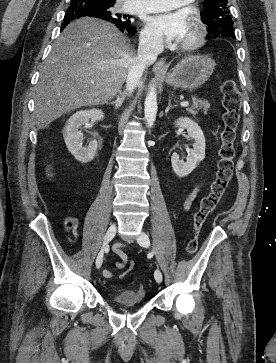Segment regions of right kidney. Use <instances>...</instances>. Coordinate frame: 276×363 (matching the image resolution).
I'll use <instances>...</instances> for the list:
<instances>
[{
    "instance_id": "right-kidney-1",
    "label": "right kidney",
    "mask_w": 276,
    "mask_h": 363,
    "mask_svg": "<svg viewBox=\"0 0 276 363\" xmlns=\"http://www.w3.org/2000/svg\"><path fill=\"white\" fill-rule=\"evenodd\" d=\"M104 113L99 109L81 110L74 113L66 122L63 128V137L69 152L81 163H88L93 160L98 143L91 141L87 147H83V134L79 130L84 125H89V120L101 121Z\"/></svg>"
}]
</instances>
